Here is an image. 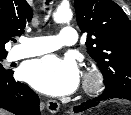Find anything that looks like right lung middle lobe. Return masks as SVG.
Wrapping results in <instances>:
<instances>
[{"mask_svg": "<svg viewBox=\"0 0 131 115\" xmlns=\"http://www.w3.org/2000/svg\"><path fill=\"white\" fill-rule=\"evenodd\" d=\"M5 58H6V55L5 56H0V76L8 75V74L11 73L10 70H5L4 67H3V65L1 64V61L3 59H5Z\"/></svg>", "mask_w": 131, "mask_h": 115, "instance_id": "1", "label": "right lung middle lobe"}]
</instances>
